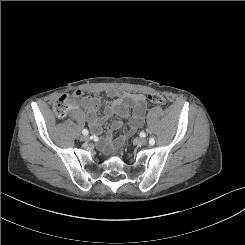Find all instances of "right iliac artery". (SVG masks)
Returning a JSON list of instances; mask_svg holds the SVG:
<instances>
[{
    "label": "right iliac artery",
    "instance_id": "right-iliac-artery-1",
    "mask_svg": "<svg viewBox=\"0 0 245 245\" xmlns=\"http://www.w3.org/2000/svg\"><path fill=\"white\" fill-rule=\"evenodd\" d=\"M82 133H83V135H88V130L87 129H84L83 131H82Z\"/></svg>",
    "mask_w": 245,
    "mask_h": 245
}]
</instances>
